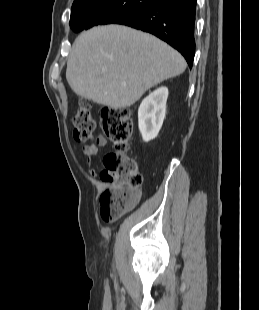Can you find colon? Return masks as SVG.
I'll list each match as a JSON object with an SVG mask.
<instances>
[{
    "instance_id": "5ec220e1",
    "label": "colon",
    "mask_w": 259,
    "mask_h": 310,
    "mask_svg": "<svg viewBox=\"0 0 259 310\" xmlns=\"http://www.w3.org/2000/svg\"><path fill=\"white\" fill-rule=\"evenodd\" d=\"M74 139L79 143L89 141L96 127L88 101L81 102L73 119ZM105 136L115 150L103 158L102 179L110 184L100 197L99 214L105 223L117 221L137 200L142 185V175L134 158L126 151L133 133V121L128 108H107L101 113Z\"/></svg>"
}]
</instances>
